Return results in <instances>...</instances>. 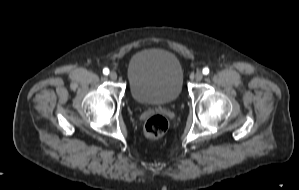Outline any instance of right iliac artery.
I'll list each match as a JSON object with an SVG mask.
<instances>
[{
	"mask_svg": "<svg viewBox=\"0 0 299 190\" xmlns=\"http://www.w3.org/2000/svg\"><path fill=\"white\" fill-rule=\"evenodd\" d=\"M103 74L108 75L109 74V69L108 68H104L103 69Z\"/></svg>",
	"mask_w": 299,
	"mask_h": 190,
	"instance_id": "82829eb1",
	"label": "right iliac artery"
}]
</instances>
